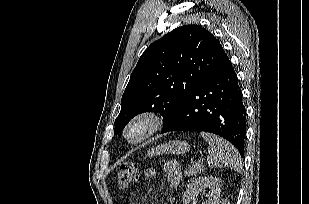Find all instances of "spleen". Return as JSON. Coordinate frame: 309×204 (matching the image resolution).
I'll list each match as a JSON object with an SVG mask.
<instances>
[{"label": "spleen", "mask_w": 309, "mask_h": 204, "mask_svg": "<svg viewBox=\"0 0 309 204\" xmlns=\"http://www.w3.org/2000/svg\"><path fill=\"white\" fill-rule=\"evenodd\" d=\"M201 136L209 145L207 161L211 167H230L236 171L241 170V157L234 146L226 140L210 133L201 132Z\"/></svg>", "instance_id": "obj_1"}]
</instances>
